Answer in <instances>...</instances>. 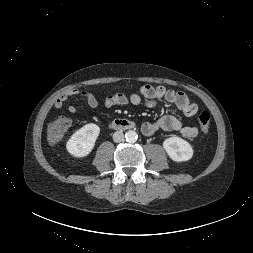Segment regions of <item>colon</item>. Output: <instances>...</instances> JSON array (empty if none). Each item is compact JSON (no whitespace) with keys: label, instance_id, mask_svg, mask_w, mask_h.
Returning <instances> with one entry per match:
<instances>
[{"label":"colon","instance_id":"5ec220e1","mask_svg":"<svg viewBox=\"0 0 253 253\" xmlns=\"http://www.w3.org/2000/svg\"><path fill=\"white\" fill-rule=\"evenodd\" d=\"M211 115L208 111L204 110L199 113L198 121L201 130L204 133L209 131ZM70 127V120L66 117H60L50 123L48 127V139L51 143L58 142Z\"/></svg>","mask_w":253,"mask_h":253}]
</instances>
